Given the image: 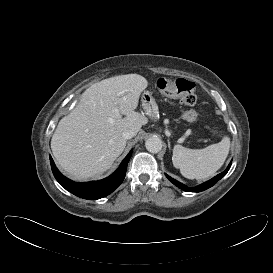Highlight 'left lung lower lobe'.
Wrapping results in <instances>:
<instances>
[{
	"label": "left lung lower lobe",
	"instance_id": "1",
	"mask_svg": "<svg viewBox=\"0 0 273 273\" xmlns=\"http://www.w3.org/2000/svg\"><path fill=\"white\" fill-rule=\"evenodd\" d=\"M230 167H231V163L228 165V167L226 168L225 171H223L222 173H220L217 176L213 177L209 181H207V182H205V183H203V184H201L199 186H196L194 188H189V187L185 186L184 184L178 182L177 180L171 178L169 175H167V174H165V175L174 185H176L177 187H179L180 189H182L184 191H187V192H201V191H204V190L212 187L214 184H216V182L219 181L228 172Z\"/></svg>",
	"mask_w": 273,
	"mask_h": 273
}]
</instances>
